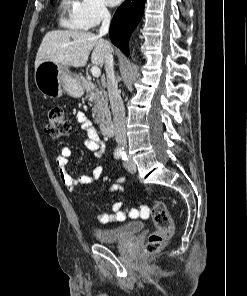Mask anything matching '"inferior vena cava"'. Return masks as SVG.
I'll use <instances>...</instances> for the list:
<instances>
[{"mask_svg": "<svg viewBox=\"0 0 247 296\" xmlns=\"http://www.w3.org/2000/svg\"><path fill=\"white\" fill-rule=\"evenodd\" d=\"M101 17L102 25L99 30V36L106 35L110 26L111 15L105 7L101 10ZM106 43L108 46V52L105 55V71L107 76V91L115 125V139L118 145L126 147L125 108L118 91V84L114 74L112 48L109 42L106 41Z\"/></svg>", "mask_w": 247, "mask_h": 296, "instance_id": "inferior-vena-cava-1", "label": "inferior vena cava"}]
</instances>
